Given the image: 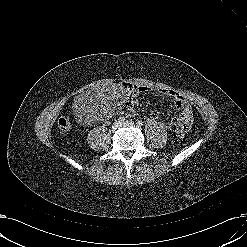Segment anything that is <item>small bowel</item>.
<instances>
[{"label":"small bowel","mask_w":247,"mask_h":247,"mask_svg":"<svg viewBox=\"0 0 247 247\" xmlns=\"http://www.w3.org/2000/svg\"><path fill=\"white\" fill-rule=\"evenodd\" d=\"M156 91L157 93L167 95L172 99L174 108L179 112L177 117L171 118L169 121L171 128L185 127L189 128L192 123V110L186 99L172 89H165L161 87H152L148 85H133L130 87V94L137 96L146 91ZM157 114H151L150 118L154 119Z\"/></svg>","instance_id":"c3829d8e"}]
</instances>
